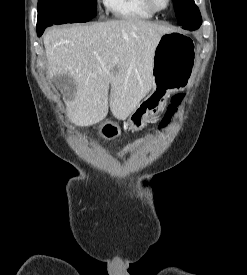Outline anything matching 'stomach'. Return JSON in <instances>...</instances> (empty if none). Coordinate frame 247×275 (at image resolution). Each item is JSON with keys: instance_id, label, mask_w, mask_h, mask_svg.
<instances>
[{"instance_id": "0dacf381", "label": "stomach", "mask_w": 247, "mask_h": 275, "mask_svg": "<svg viewBox=\"0 0 247 275\" xmlns=\"http://www.w3.org/2000/svg\"><path fill=\"white\" fill-rule=\"evenodd\" d=\"M195 56L194 43L189 37L173 31L161 36L153 55L152 90L130 114L128 123L132 129L140 130L146 126L164 109L170 93L190 85L195 71ZM99 134L111 140L120 131L115 124L106 122L100 126Z\"/></svg>"}]
</instances>
